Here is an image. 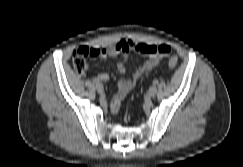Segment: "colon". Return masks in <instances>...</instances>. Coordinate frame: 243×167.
I'll use <instances>...</instances> for the list:
<instances>
[{
    "label": "colon",
    "instance_id": "obj_1",
    "mask_svg": "<svg viewBox=\"0 0 243 167\" xmlns=\"http://www.w3.org/2000/svg\"><path fill=\"white\" fill-rule=\"evenodd\" d=\"M92 56L91 48L80 47L73 52L72 63L76 73L82 75L88 70V58ZM178 64V59L176 57H171L169 59V67L171 69L176 68Z\"/></svg>",
    "mask_w": 243,
    "mask_h": 167
}]
</instances>
